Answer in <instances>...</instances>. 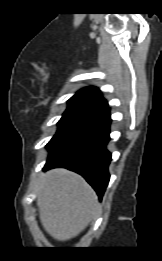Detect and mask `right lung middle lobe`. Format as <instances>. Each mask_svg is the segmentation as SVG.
<instances>
[{
  "label": "right lung middle lobe",
  "mask_w": 162,
  "mask_h": 261,
  "mask_svg": "<svg viewBox=\"0 0 162 261\" xmlns=\"http://www.w3.org/2000/svg\"><path fill=\"white\" fill-rule=\"evenodd\" d=\"M103 108V105L98 101L77 95L73 96L68 101V108L58 122V131Z\"/></svg>",
  "instance_id": "obj_1"
}]
</instances>
